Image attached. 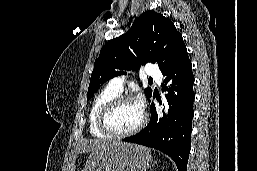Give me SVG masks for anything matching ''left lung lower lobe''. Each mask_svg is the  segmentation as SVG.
I'll list each match as a JSON object with an SVG mask.
<instances>
[{
    "mask_svg": "<svg viewBox=\"0 0 257 171\" xmlns=\"http://www.w3.org/2000/svg\"><path fill=\"white\" fill-rule=\"evenodd\" d=\"M160 70L166 76L163 91L168 92L163 112L157 113L155 105L151 103L148 125L140 133L123 141L160 150L174 160L178 171H187L191 149L194 76L186 46L173 53Z\"/></svg>",
    "mask_w": 257,
    "mask_h": 171,
    "instance_id": "left-lung-lower-lobe-1",
    "label": "left lung lower lobe"
}]
</instances>
